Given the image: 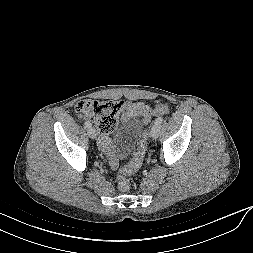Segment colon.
I'll use <instances>...</instances> for the list:
<instances>
[{
  "label": "colon",
  "instance_id": "colon-1",
  "mask_svg": "<svg viewBox=\"0 0 253 253\" xmlns=\"http://www.w3.org/2000/svg\"><path fill=\"white\" fill-rule=\"evenodd\" d=\"M122 106V102L87 99L78 102L75 105V111L80 117L92 120L100 133L108 134L115 128ZM145 152L146 135L144 134L130 162L118 172L117 185L120 191L127 192L131 188L128 176L138 171L141 167Z\"/></svg>",
  "mask_w": 253,
  "mask_h": 253
}]
</instances>
